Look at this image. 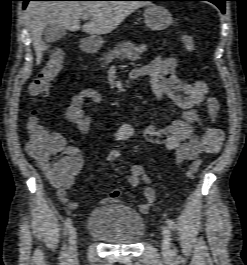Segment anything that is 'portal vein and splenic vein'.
I'll return each mask as SVG.
<instances>
[{
	"label": "portal vein and splenic vein",
	"mask_w": 247,
	"mask_h": 265,
	"mask_svg": "<svg viewBox=\"0 0 247 265\" xmlns=\"http://www.w3.org/2000/svg\"><path fill=\"white\" fill-rule=\"evenodd\" d=\"M90 17L89 16H83L82 19L83 20H88Z\"/></svg>",
	"instance_id": "1"
}]
</instances>
